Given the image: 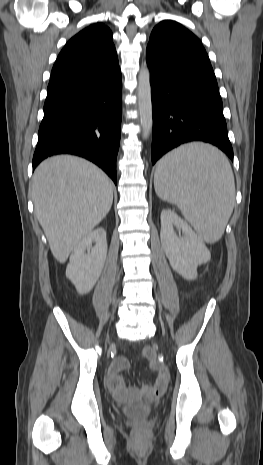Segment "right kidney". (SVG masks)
<instances>
[{"mask_svg":"<svg viewBox=\"0 0 263 465\" xmlns=\"http://www.w3.org/2000/svg\"><path fill=\"white\" fill-rule=\"evenodd\" d=\"M106 256L107 241L103 228L90 232L74 248L66 268V277L71 280L79 294H86L92 290L103 270Z\"/></svg>","mask_w":263,"mask_h":465,"instance_id":"ca27d5eb","label":"right kidney"}]
</instances>
